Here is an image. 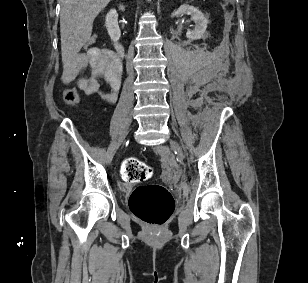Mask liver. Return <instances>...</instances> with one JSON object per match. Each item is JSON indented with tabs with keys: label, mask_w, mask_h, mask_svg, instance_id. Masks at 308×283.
<instances>
[{
	"label": "liver",
	"mask_w": 308,
	"mask_h": 283,
	"mask_svg": "<svg viewBox=\"0 0 308 283\" xmlns=\"http://www.w3.org/2000/svg\"><path fill=\"white\" fill-rule=\"evenodd\" d=\"M111 0H60L61 53L64 64L74 58L91 37L93 21Z\"/></svg>",
	"instance_id": "liver-1"
}]
</instances>
